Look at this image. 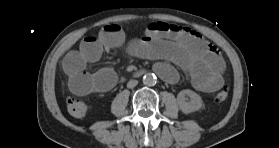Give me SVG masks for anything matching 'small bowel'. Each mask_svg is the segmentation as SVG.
<instances>
[{
    "label": "small bowel",
    "mask_w": 279,
    "mask_h": 148,
    "mask_svg": "<svg viewBox=\"0 0 279 148\" xmlns=\"http://www.w3.org/2000/svg\"><path fill=\"white\" fill-rule=\"evenodd\" d=\"M124 43L122 28L109 24L96 36L84 38L77 49L70 50L62 61L70 90L77 95H87L112 89L118 80L114 70L102 68L90 74L86 67L98 61L104 51ZM127 51L134 57L157 60L154 71L168 83L178 80V72L169 64L172 63L189 76L198 90L215 92L224 84L225 63L218 49L189 27L151 23L142 36L127 44Z\"/></svg>",
    "instance_id": "obj_1"
}]
</instances>
